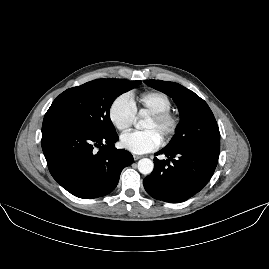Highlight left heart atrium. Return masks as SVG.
<instances>
[{
  "mask_svg": "<svg viewBox=\"0 0 269 269\" xmlns=\"http://www.w3.org/2000/svg\"><path fill=\"white\" fill-rule=\"evenodd\" d=\"M121 146L136 154H144L156 150L162 144L160 136L153 130L146 132L124 133L120 139Z\"/></svg>",
  "mask_w": 269,
  "mask_h": 269,
  "instance_id": "1",
  "label": "left heart atrium"
}]
</instances>
